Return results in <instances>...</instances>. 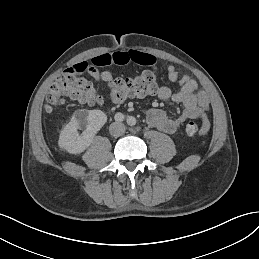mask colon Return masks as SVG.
Listing matches in <instances>:
<instances>
[{"label":"colon","instance_id":"colon-1","mask_svg":"<svg viewBox=\"0 0 259 259\" xmlns=\"http://www.w3.org/2000/svg\"><path fill=\"white\" fill-rule=\"evenodd\" d=\"M109 98L113 102L124 101L130 97H143L155 94L157 90L156 73L148 69L129 78H113L108 82ZM66 99H72L81 103L95 105L105 103V97L101 95L95 86L83 77L74 73L65 72L60 75L51 86L46 99V110L52 112L62 106ZM202 131V121L186 120L184 132L196 135Z\"/></svg>","mask_w":259,"mask_h":259}]
</instances>
